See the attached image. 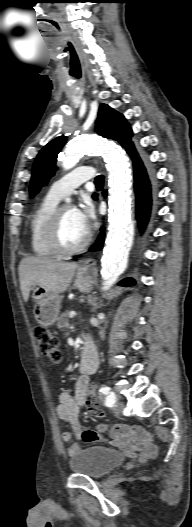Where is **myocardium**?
<instances>
[{"label":"myocardium","mask_w":192,"mask_h":527,"mask_svg":"<svg viewBox=\"0 0 192 527\" xmlns=\"http://www.w3.org/2000/svg\"><path fill=\"white\" fill-rule=\"evenodd\" d=\"M68 208L73 209L72 206H63L57 208L52 218L49 230V242L51 247L57 254L64 256L74 255L83 251L91 241V232L87 231L85 238L78 245L68 247L63 244L61 239L62 216L63 212Z\"/></svg>","instance_id":"1"}]
</instances>
